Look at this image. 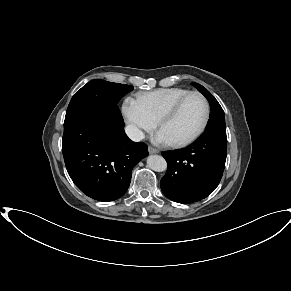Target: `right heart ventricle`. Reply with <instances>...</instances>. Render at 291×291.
Wrapping results in <instances>:
<instances>
[{
    "label": "right heart ventricle",
    "instance_id": "right-heart-ventricle-1",
    "mask_svg": "<svg viewBox=\"0 0 291 291\" xmlns=\"http://www.w3.org/2000/svg\"><path fill=\"white\" fill-rule=\"evenodd\" d=\"M189 92L183 88H162L142 93L137 100L142 104L150 118L158 122L166 111Z\"/></svg>",
    "mask_w": 291,
    "mask_h": 291
}]
</instances>
